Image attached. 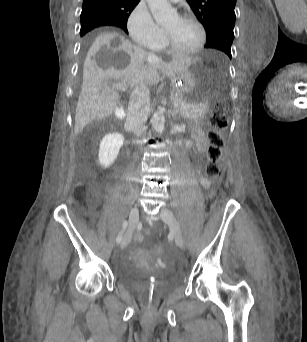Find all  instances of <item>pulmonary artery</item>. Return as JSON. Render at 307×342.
I'll return each instance as SVG.
<instances>
[{
	"mask_svg": "<svg viewBox=\"0 0 307 342\" xmlns=\"http://www.w3.org/2000/svg\"><path fill=\"white\" fill-rule=\"evenodd\" d=\"M170 2H172V3H176V2H180V1H170Z\"/></svg>",
	"mask_w": 307,
	"mask_h": 342,
	"instance_id": "obj_1",
	"label": "pulmonary artery"
}]
</instances>
